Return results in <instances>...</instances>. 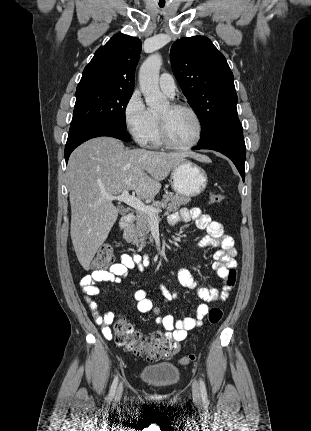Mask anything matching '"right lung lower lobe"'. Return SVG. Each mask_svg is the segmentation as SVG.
Wrapping results in <instances>:
<instances>
[{"label": "right lung lower lobe", "mask_w": 311, "mask_h": 431, "mask_svg": "<svg viewBox=\"0 0 311 431\" xmlns=\"http://www.w3.org/2000/svg\"><path fill=\"white\" fill-rule=\"evenodd\" d=\"M110 136L123 141H129V135L126 127H119L105 122H88L76 127L70 128L67 143L65 145L66 164L71 152L83 142L99 137Z\"/></svg>", "instance_id": "98d812e1"}]
</instances>
